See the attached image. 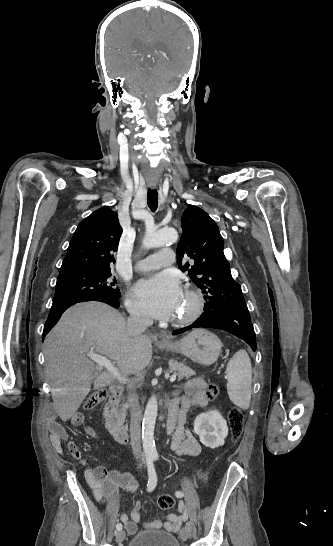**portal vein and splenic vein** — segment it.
Returning <instances> with one entry per match:
<instances>
[{"mask_svg":"<svg viewBox=\"0 0 333 546\" xmlns=\"http://www.w3.org/2000/svg\"><path fill=\"white\" fill-rule=\"evenodd\" d=\"M87 356L91 360L96 362L99 366L106 368L120 383L125 384L126 382H128V379L120 375L119 371L115 368L114 364L108 358L95 353H89ZM175 379L176 375L173 374L170 377V382H174Z\"/></svg>","mask_w":333,"mask_h":546,"instance_id":"1","label":"portal vein and splenic vein"}]
</instances>
